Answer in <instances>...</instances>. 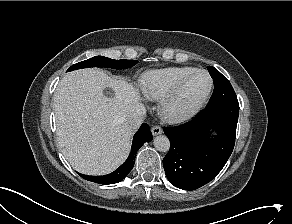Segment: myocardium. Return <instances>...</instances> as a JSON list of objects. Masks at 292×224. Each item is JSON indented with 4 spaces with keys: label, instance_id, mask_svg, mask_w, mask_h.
<instances>
[{
    "label": "myocardium",
    "instance_id": "obj_1",
    "mask_svg": "<svg viewBox=\"0 0 292 224\" xmlns=\"http://www.w3.org/2000/svg\"><path fill=\"white\" fill-rule=\"evenodd\" d=\"M197 73H205L209 77L210 84L206 94L202 99H200L194 106L190 107L189 109H186L184 111H176L174 109V105L177 99L179 98L185 84L193 75ZM213 87H214L213 77L207 70L195 69L192 72L188 73L182 79L179 80V82L165 97L162 98L160 102V114L162 118L170 123H179L193 117L207 103L211 96Z\"/></svg>",
    "mask_w": 292,
    "mask_h": 224
}]
</instances>
